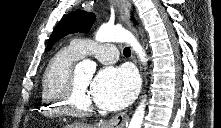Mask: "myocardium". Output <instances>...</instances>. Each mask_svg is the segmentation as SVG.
<instances>
[{
    "label": "myocardium",
    "instance_id": "obj_1",
    "mask_svg": "<svg viewBox=\"0 0 221 128\" xmlns=\"http://www.w3.org/2000/svg\"><path fill=\"white\" fill-rule=\"evenodd\" d=\"M63 110L70 116H88L94 112L91 102H81L76 76L72 75L63 97Z\"/></svg>",
    "mask_w": 221,
    "mask_h": 128
}]
</instances>
